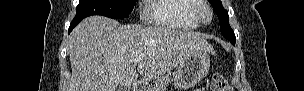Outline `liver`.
Wrapping results in <instances>:
<instances>
[{
  "label": "liver",
  "mask_w": 304,
  "mask_h": 91,
  "mask_svg": "<svg viewBox=\"0 0 304 91\" xmlns=\"http://www.w3.org/2000/svg\"><path fill=\"white\" fill-rule=\"evenodd\" d=\"M69 39V91H126L136 82L137 71L148 78L161 77L194 50L214 52L196 32L124 26L103 16L85 18ZM136 57L141 61L134 64Z\"/></svg>",
  "instance_id": "1"
}]
</instances>
